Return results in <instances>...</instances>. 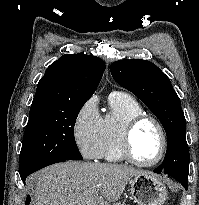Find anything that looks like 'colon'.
Here are the masks:
<instances>
[{
    "instance_id": "1",
    "label": "colon",
    "mask_w": 199,
    "mask_h": 205,
    "mask_svg": "<svg viewBox=\"0 0 199 205\" xmlns=\"http://www.w3.org/2000/svg\"><path fill=\"white\" fill-rule=\"evenodd\" d=\"M26 205H31V201L28 200L27 203H26Z\"/></svg>"
}]
</instances>
